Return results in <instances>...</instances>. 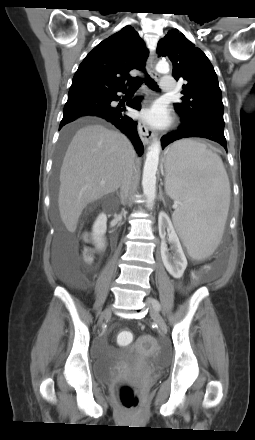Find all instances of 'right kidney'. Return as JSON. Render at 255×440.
I'll return each instance as SVG.
<instances>
[{"label": "right kidney", "instance_id": "right-kidney-1", "mask_svg": "<svg viewBox=\"0 0 255 440\" xmlns=\"http://www.w3.org/2000/svg\"><path fill=\"white\" fill-rule=\"evenodd\" d=\"M106 230H107V216L104 213H101L97 217L92 229L95 247L99 251L105 248L104 235L106 233Z\"/></svg>", "mask_w": 255, "mask_h": 440}]
</instances>
